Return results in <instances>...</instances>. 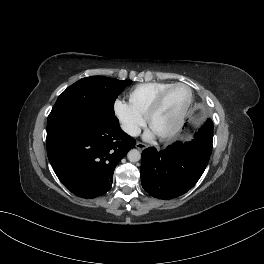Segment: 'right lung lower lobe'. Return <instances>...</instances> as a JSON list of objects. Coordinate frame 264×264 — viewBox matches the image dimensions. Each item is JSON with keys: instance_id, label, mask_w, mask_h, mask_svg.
<instances>
[{"instance_id": "obj_1", "label": "right lung lower lobe", "mask_w": 264, "mask_h": 264, "mask_svg": "<svg viewBox=\"0 0 264 264\" xmlns=\"http://www.w3.org/2000/svg\"><path fill=\"white\" fill-rule=\"evenodd\" d=\"M135 144L114 115L98 112L72 115L48 130L46 138L57 177L83 198L98 197L111 189L116 165Z\"/></svg>"}]
</instances>
